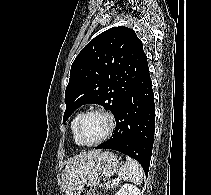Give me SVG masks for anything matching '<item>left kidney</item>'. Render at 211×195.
I'll list each match as a JSON object with an SVG mask.
<instances>
[{"label": "left kidney", "mask_w": 211, "mask_h": 195, "mask_svg": "<svg viewBox=\"0 0 211 195\" xmlns=\"http://www.w3.org/2000/svg\"><path fill=\"white\" fill-rule=\"evenodd\" d=\"M115 195H141L140 190L131 184H124Z\"/></svg>", "instance_id": "obj_1"}]
</instances>
